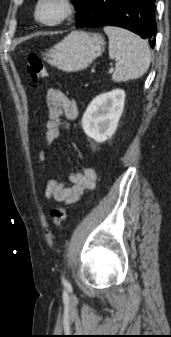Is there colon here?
Wrapping results in <instances>:
<instances>
[{
  "mask_svg": "<svg viewBox=\"0 0 171 337\" xmlns=\"http://www.w3.org/2000/svg\"><path fill=\"white\" fill-rule=\"evenodd\" d=\"M26 68L32 81L37 82L47 76V69L41 59L36 55L28 56ZM66 218V209L57 207L51 211V221L54 226H60Z\"/></svg>",
  "mask_w": 171,
  "mask_h": 337,
  "instance_id": "5ec220e1",
  "label": "colon"
}]
</instances>
